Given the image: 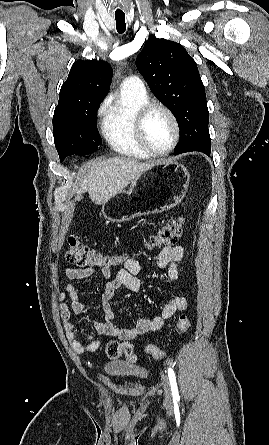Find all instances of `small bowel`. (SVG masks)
Returning <instances> with one entry per match:
<instances>
[{
  "instance_id": "small-bowel-1",
  "label": "small bowel",
  "mask_w": 269,
  "mask_h": 445,
  "mask_svg": "<svg viewBox=\"0 0 269 445\" xmlns=\"http://www.w3.org/2000/svg\"><path fill=\"white\" fill-rule=\"evenodd\" d=\"M185 250L183 246L164 247L157 261L158 269L165 271L166 281L171 283L178 279V263L183 259ZM119 269L114 278H111V271L108 268L100 269L102 278L106 281L104 292L102 295L103 319L94 320L93 326L95 333L98 335L114 336L121 340H129L138 335L146 334L160 329L166 320L171 318L175 313L183 311L188 306V300L183 296H175L166 299L161 307L159 314L152 318L141 319L134 325L120 327L115 323V313L112 309V300L117 291L125 288L131 292H138L141 289V280L139 276L145 271L144 266L138 261L123 257ZM95 273L93 268H66L65 275L68 280H83L91 277ZM67 296L70 299V306L64 302L66 293H60V316L63 322L66 338L71 347L78 354L96 351L100 342L93 335L80 338L77 335V323L71 320V314L85 315L87 309L82 302L81 288L71 282L65 286Z\"/></svg>"
}]
</instances>
